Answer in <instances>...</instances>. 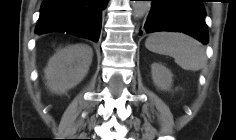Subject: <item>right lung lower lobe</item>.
<instances>
[{
    "mask_svg": "<svg viewBox=\"0 0 236 140\" xmlns=\"http://www.w3.org/2000/svg\"><path fill=\"white\" fill-rule=\"evenodd\" d=\"M107 3L108 0H44L35 32L40 35L62 31L97 42Z\"/></svg>",
    "mask_w": 236,
    "mask_h": 140,
    "instance_id": "obj_1",
    "label": "right lung lower lobe"
}]
</instances>
